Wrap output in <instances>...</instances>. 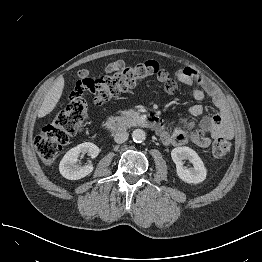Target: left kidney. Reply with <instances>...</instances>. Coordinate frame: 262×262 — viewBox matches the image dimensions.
I'll return each mask as SVG.
<instances>
[{
	"instance_id": "1",
	"label": "left kidney",
	"mask_w": 262,
	"mask_h": 262,
	"mask_svg": "<svg viewBox=\"0 0 262 262\" xmlns=\"http://www.w3.org/2000/svg\"><path fill=\"white\" fill-rule=\"evenodd\" d=\"M171 157L176 164V173L182 181L190 184H198L205 180L207 169L199 155L193 149L185 146L174 148L171 151ZM183 160H189L193 167H185Z\"/></svg>"
}]
</instances>
